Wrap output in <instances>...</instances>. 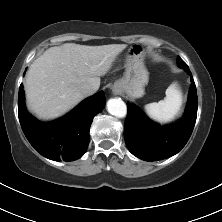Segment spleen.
Masks as SVG:
<instances>
[{
	"label": "spleen",
	"instance_id": "spleen-1",
	"mask_svg": "<svg viewBox=\"0 0 222 222\" xmlns=\"http://www.w3.org/2000/svg\"><path fill=\"white\" fill-rule=\"evenodd\" d=\"M182 101L181 91L176 83H172L166 90V97L159 102L145 105V111L150 118L160 123H168L180 112Z\"/></svg>",
	"mask_w": 222,
	"mask_h": 222
}]
</instances>
